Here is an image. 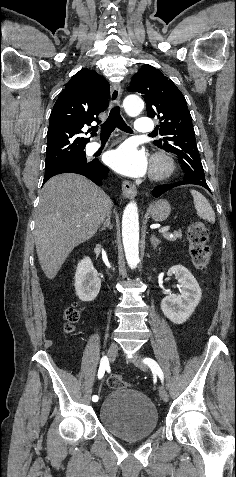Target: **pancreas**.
I'll return each mask as SVG.
<instances>
[{"label":"pancreas","mask_w":236,"mask_h":477,"mask_svg":"<svg viewBox=\"0 0 236 477\" xmlns=\"http://www.w3.org/2000/svg\"><path fill=\"white\" fill-rule=\"evenodd\" d=\"M163 237L168 241H176L177 239L182 238V233L181 231H175L172 235L168 233H164Z\"/></svg>","instance_id":"1"}]
</instances>
